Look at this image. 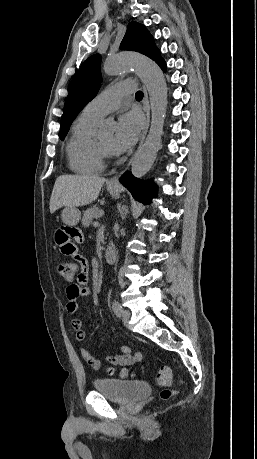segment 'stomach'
<instances>
[{
	"mask_svg": "<svg viewBox=\"0 0 257 459\" xmlns=\"http://www.w3.org/2000/svg\"><path fill=\"white\" fill-rule=\"evenodd\" d=\"M107 189L113 197L117 198L119 196L118 188L108 186ZM61 216L64 223H73V226H75L81 219V212L76 207H65Z\"/></svg>",
	"mask_w": 257,
	"mask_h": 459,
	"instance_id": "1",
	"label": "stomach"
}]
</instances>
